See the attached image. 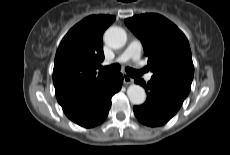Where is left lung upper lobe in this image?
Returning a JSON list of instances; mask_svg holds the SVG:
<instances>
[{"mask_svg":"<svg viewBox=\"0 0 230 155\" xmlns=\"http://www.w3.org/2000/svg\"><path fill=\"white\" fill-rule=\"evenodd\" d=\"M127 27L140 39L151 81L186 98L194 76L189 42L178 27L165 17L146 13L126 19Z\"/></svg>","mask_w":230,"mask_h":155,"instance_id":"left-lung-upper-lobe-1","label":"left lung upper lobe"}]
</instances>
